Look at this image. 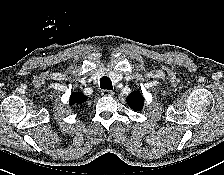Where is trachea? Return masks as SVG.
<instances>
[{"instance_id":"1","label":"trachea","mask_w":224,"mask_h":175,"mask_svg":"<svg viewBox=\"0 0 224 175\" xmlns=\"http://www.w3.org/2000/svg\"><path fill=\"white\" fill-rule=\"evenodd\" d=\"M100 87L102 89L111 90L112 89V81L108 77H102L100 79Z\"/></svg>"}]
</instances>
